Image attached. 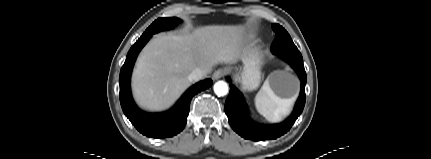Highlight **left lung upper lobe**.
I'll use <instances>...</instances> for the list:
<instances>
[{
  "label": "left lung upper lobe",
  "mask_w": 431,
  "mask_h": 159,
  "mask_svg": "<svg viewBox=\"0 0 431 159\" xmlns=\"http://www.w3.org/2000/svg\"><path fill=\"white\" fill-rule=\"evenodd\" d=\"M272 29L276 33V39L271 48L273 54H300L290 35L282 26L279 24H272Z\"/></svg>",
  "instance_id": "obj_1"
}]
</instances>
